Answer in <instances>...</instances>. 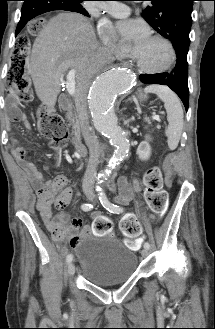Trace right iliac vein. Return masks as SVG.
<instances>
[{
    "instance_id": "right-iliac-vein-1",
    "label": "right iliac vein",
    "mask_w": 215,
    "mask_h": 329,
    "mask_svg": "<svg viewBox=\"0 0 215 329\" xmlns=\"http://www.w3.org/2000/svg\"><path fill=\"white\" fill-rule=\"evenodd\" d=\"M85 195L87 196V198H91V194L89 191H86ZM74 272H75V266L72 262H70L68 265V273L70 276H73Z\"/></svg>"
}]
</instances>
